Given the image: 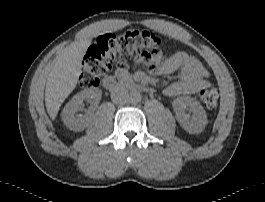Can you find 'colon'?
Here are the masks:
<instances>
[{
	"label": "colon",
	"mask_w": 265,
	"mask_h": 202,
	"mask_svg": "<svg viewBox=\"0 0 265 202\" xmlns=\"http://www.w3.org/2000/svg\"><path fill=\"white\" fill-rule=\"evenodd\" d=\"M162 46L160 36L144 29L102 35L89 47L82 65L80 86L85 89L96 87L114 65L124 68L131 61L150 64L160 54ZM199 97L209 110L218 105L219 92L215 87L202 90Z\"/></svg>",
	"instance_id": "obj_1"
}]
</instances>
